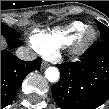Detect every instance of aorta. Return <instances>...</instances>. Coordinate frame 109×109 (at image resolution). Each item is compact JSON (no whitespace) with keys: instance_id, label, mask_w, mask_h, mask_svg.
Listing matches in <instances>:
<instances>
[{"instance_id":"1","label":"aorta","mask_w":109,"mask_h":109,"mask_svg":"<svg viewBox=\"0 0 109 109\" xmlns=\"http://www.w3.org/2000/svg\"><path fill=\"white\" fill-rule=\"evenodd\" d=\"M45 76L48 81L56 82L60 77L59 70L56 67H49L45 71Z\"/></svg>"}]
</instances>
